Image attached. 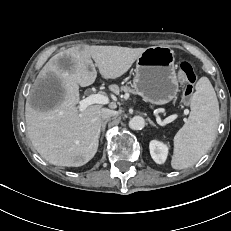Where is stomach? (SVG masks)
<instances>
[{"label":"stomach","mask_w":231,"mask_h":231,"mask_svg":"<svg viewBox=\"0 0 231 231\" xmlns=\"http://www.w3.org/2000/svg\"><path fill=\"white\" fill-rule=\"evenodd\" d=\"M175 54L165 46H153L138 57L133 79L134 92L154 105L167 104L179 90Z\"/></svg>","instance_id":"obj_1"}]
</instances>
